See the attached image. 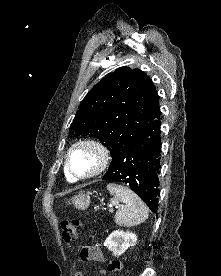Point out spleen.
<instances>
[{
	"mask_svg": "<svg viewBox=\"0 0 221 276\" xmlns=\"http://www.w3.org/2000/svg\"><path fill=\"white\" fill-rule=\"evenodd\" d=\"M107 190L125 205L115 214V223L119 226L132 227L146 221L149 215L145 203L129 188L109 183Z\"/></svg>",
	"mask_w": 221,
	"mask_h": 276,
	"instance_id": "1",
	"label": "spleen"
}]
</instances>
